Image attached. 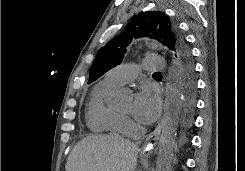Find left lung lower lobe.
Listing matches in <instances>:
<instances>
[{"mask_svg":"<svg viewBox=\"0 0 245 171\" xmlns=\"http://www.w3.org/2000/svg\"><path fill=\"white\" fill-rule=\"evenodd\" d=\"M175 66L179 84L184 95V111L186 114L184 121L188 124L195 103L194 63L193 61H175ZM183 142L185 143L186 140L183 139Z\"/></svg>","mask_w":245,"mask_h":171,"instance_id":"obj_1","label":"left lung lower lobe"}]
</instances>
